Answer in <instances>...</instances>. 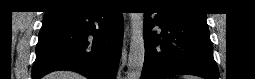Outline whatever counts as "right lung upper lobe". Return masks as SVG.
<instances>
[{"mask_svg": "<svg viewBox=\"0 0 255 79\" xmlns=\"http://www.w3.org/2000/svg\"><path fill=\"white\" fill-rule=\"evenodd\" d=\"M97 6L98 5L96 4H89L82 1H72V0L55 1L50 6V9L46 15L60 12L63 10H68V9L95 8Z\"/></svg>", "mask_w": 255, "mask_h": 79, "instance_id": "1", "label": "right lung upper lobe"}]
</instances>
